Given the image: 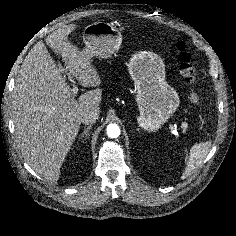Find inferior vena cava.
<instances>
[{
    "instance_id": "inferior-vena-cava-1",
    "label": "inferior vena cava",
    "mask_w": 236,
    "mask_h": 236,
    "mask_svg": "<svg viewBox=\"0 0 236 236\" xmlns=\"http://www.w3.org/2000/svg\"><path fill=\"white\" fill-rule=\"evenodd\" d=\"M99 118V112L96 110H89L86 112H83L81 115V122L85 125H91L96 122V120Z\"/></svg>"
}]
</instances>
